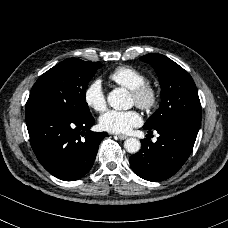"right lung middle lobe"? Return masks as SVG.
I'll return each mask as SVG.
<instances>
[{
  "mask_svg": "<svg viewBox=\"0 0 228 228\" xmlns=\"http://www.w3.org/2000/svg\"><path fill=\"white\" fill-rule=\"evenodd\" d=\"M102 66L69 58L49 69L33 85L26 103L25 114L40 110H56L75 117H89L86 103L88 82Z\"/></svg>",
  "mask_w": 228,
  "mask_h": 228,
  "instance_id": "obj_1",
  "label": "right lung middle lobe"
}]
</instances>
